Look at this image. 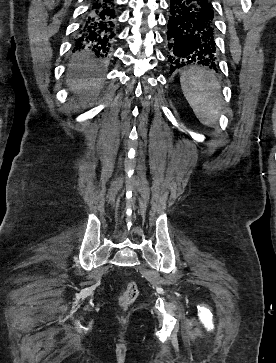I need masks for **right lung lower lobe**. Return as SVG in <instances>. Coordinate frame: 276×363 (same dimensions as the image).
<instances>
[{"instance_id":"obj_1","label":"right lung lower lobe","mask_w":276,"mask_h":363,"mask_svg":"<svg viewBox=\"0 0 276 363\" xmlns=\"http://www.w3.org/2000/svg\"><path fill=\"white\" fill-rule=\"evenodd\" d=\"M117 17L115 0H91L74 42L75 49H91L102 57L112 53Z\"/></svg>"}]
</instances>
